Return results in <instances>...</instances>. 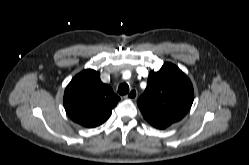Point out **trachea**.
I'll use <instances>...</instances> for the list:
<instances>
[{"label":"trachea","instance_id":"3493384b","mask_svg":"<svg viewBox=\"0 0 249 165\" xmlns=\"http://www.w3.org/2000/svg\"><path fill=\"white\" fill-rule=\"evenodd\" d=\"M129 92V86L126 83L120 84L118 87V93L120 95H126Z\"/></svg>","mask_w":249,"mask_h":165}]
</instances>
